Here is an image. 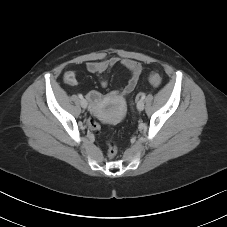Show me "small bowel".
Segmentation results:
<instances>
[{
  "label": "small bowel",
  "instance_id": "obj_1",
  "mask_svg": "<svg viewBox=\"0 0 227 227\" xmlns=\"http://www.w3.org/2000/svg\"><path fill=\"white\" fill-rule=\"evenodd\" d=\"M118 64L126 68L130 76L127 83L121 89L110 92L108 97L111 99L122 100L134 90L138 83L143 70L142 65L139 62L114 56L104 60L89 61L86 63V70L90 73L99 75L101 77L102 87H106L108 82L102 76ZM63 81L64 83L71 86L76 85L78 82L76 73L72 70L66 71L63 74ZM87 98L92 105H97L102 101L103 96L98 91H90L87 94Z\"/></svg>",
  "mask_w": 227,
  "mask_h": 227
}]
</instances>
